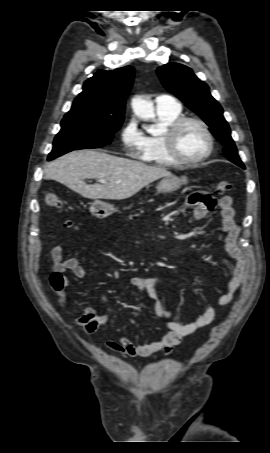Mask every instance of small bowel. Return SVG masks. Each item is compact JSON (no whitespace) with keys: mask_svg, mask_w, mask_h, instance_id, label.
<instances>
[{"mask_svg":"<svg viewBox=\"0 0 270 453\" xmlns=\"http://www.w3.org/2000/svg\"><path fill=\"white\" fill-rule=\"evenodd\" d=\"M187 204L194 208V217L197 220L203 219L213 209V207L211 208L199 200L198 193L191 195L188 198ZM218 208L221 217V227L226 233L225 249L235 262L231 276L226 282V291L218 298L216 303L217 307H225L231 303L243 282L247 269V258L238 246L240 228L234 219L235 211L232 206V198L230 196L221 197L218 200ZM51 257L54 261V273L62 276L64 287L69 285V279L65 275L66 271H71L77 278L86 276V269L77 258L63 257V247L61 244L51 249ZM129 282L131 286L151 299L155 316L167 320L166 326L168 331L159 341L147 344L133 343L123 335L119 336L117 341H107L105 343L106 348L119 355L131 358H145L160 351L165 355H169L184 337L199 328L209 325L215 317V307L209 306L201 314L192 317L188 322H177L172 319L171 312L164 308L158 296L157 286L160 282L159 278L134 276L130 278ZM100 299L105 305L104 313L99 314L92 307H86L84 313L74 321L87 334H93L101 327L110 325L113 322V310L108 297L102 294Z\"/></svg>","mask_w":270,"mask_h":453,"instance_id":"obj_1","label":"small bowel"}]
</instances>
